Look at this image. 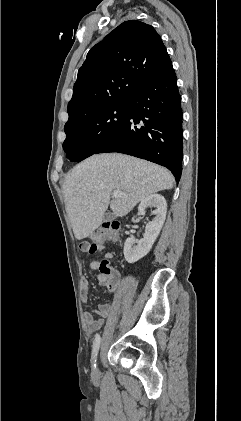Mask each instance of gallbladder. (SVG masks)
<instances>
[{
	"instance_id": "bac80fb5",
	"label": "gallbladder",
	"mask_w": 241,
	"mask_h": 421,
	"mask_svg": "<svg viewBox=\"0 0 241 421\" xmlns=\"http://www.w3.org/2000/svg\"><path fill=\"white\" fill-rule=\"evenodd\" d=\"M115 218V215L112 212H107L104 217L103 220L104 221H111Z\"/></svg>"
}]
</instances>
